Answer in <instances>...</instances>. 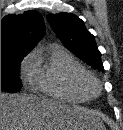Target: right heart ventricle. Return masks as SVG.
Returning <instances> with one entry per match:
<instances>
[{
	"mask_svg": "<svg viewBox=\"0 0 123 130\" xmlns=\"http://www.w3.org/2000/svg\"><path fill=\"white\" fill-rule=\"evenodd\" d=\"M86 68L65 48L52 45L32 55L29 80L40 93L67 102L83 103L90 97L84 87Z\"/></svg>",
	"mask_w": 123,
	"mask_h": 130,
	"instance_id": "e07e8e85",
	"label": "right heart ventricle"
}]
</instances>
